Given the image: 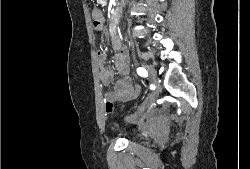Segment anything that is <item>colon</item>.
<instances>
[{"label":"colon","instance_id":"1","mask_svg":"<svg viewBox=\"0 0 250 169\" xmlns=\"http://www.w3.org/2000/svg\"><path fill=\"white\" fill-rule=\"evenodd\" d=\"M93 26H94V29L95 31L97 32H100L101 31V24H100V21L99 20H95L94 23H93ZM106 108H114V103H106ZM105 113L106 114H113L114 113V110L113 109H106L105 110ZM175 134L176 135H179L180 134V131L179 130H176L175 131Z\"/></svg>","mask_w":250,"mask_h":169}]
</instances>
